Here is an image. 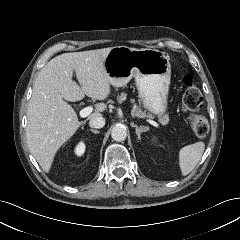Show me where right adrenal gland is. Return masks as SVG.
<instances>
[{"label":"right adrenal gland","mask_w":240,"mask_h":240,"mask_svg":"<svg viewBox=\"0 0 240 240\" xmlns=\"http://www.w3.org/2000/svg\"><path fill=\"white\" fill-rule=\"evenodd\" d=\"M90 131L93 132L94 134H98L99 133V131L94 130V129H90Z\"/></svg>","instance_id":"obj_1"}]
</instances>
